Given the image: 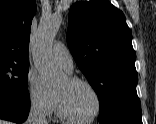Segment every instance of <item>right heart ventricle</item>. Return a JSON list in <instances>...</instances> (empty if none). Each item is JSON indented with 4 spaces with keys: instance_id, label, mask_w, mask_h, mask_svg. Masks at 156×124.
<instances>
[{
    "instance_id": "obj_1",
    "label": "right heart ventricle",
    "mask_w": 156,
    "mask_h": 124,
    "mask_svg": "<svg viewBox=\"0 0 156 124\" xmlns=\"http://www.w3.org/2000/svg\"><path fill=\"white\" fill-rule=\"evenodd\" d=\"M54 99H55V96H54ZM54 112H57V107H56V102L54 101Z\"/></svg>"
}]
</instances>
